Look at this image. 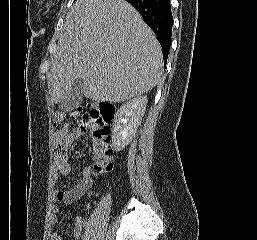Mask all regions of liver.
I'll list each match as a JSON object with an SVG mask.
<instances>
[{
  "instance_id": "6515ba94",
  "label": "liver",
  "mask_w": 257,
  "mask_h": 240,
  "mask_svg": "<svg viewBox=\"0 0 257 240\" xmlns=\"http://www.w3.org/2000/svg\"><path fill=\"white\" fill-rule=\"evenodd\" d=\"M162 73L161 46L134 7L125 0H77L47 77L54 103L79 79L86 98L116 103L147 93Z\"/></svg>"
}]
</instances>
